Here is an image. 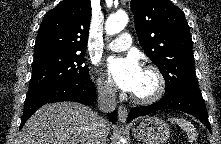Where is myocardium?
Listing matches in <instances>:
<instances>
[{
	"label": "myocardium",
	"instance_id": "obj_1",
	"mask_svg": "<svg viewBox=\"0 0 221 144\" xmlns=\"http://www.w3.org/2000/svg\"><path fill=\"white\" fill-rule=\"evenodd\" d=\"M144 71L151 73L156 80V87L153 93L148 96H137L132 94V100L137 104L147 105L157 102L164 94L166 84L162 72L154 65H146Z\"/></svg>",
	"mask_w": 221,
	"mask_h": 144
}]
</instances>
